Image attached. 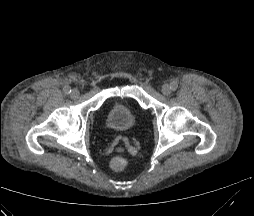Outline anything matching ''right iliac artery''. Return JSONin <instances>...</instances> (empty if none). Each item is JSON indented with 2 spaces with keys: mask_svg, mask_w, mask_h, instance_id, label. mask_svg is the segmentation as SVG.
Wrapping results in <instances>:
<instances>
[{
  "mask_svg": "<svg viewBox=\"0 0 254 216\" xmlns=\"http://www.w3.org/2000/svg\"><path fill=\"white\" fill-rule=\"evenodd\" d=\"M71 88L69 87V86H66V87H64V92L66 93V94H70L71 93Z\"/></svg>",
  "mask_w": 254,
  "mask_h": 216,
  "instance_id": "obj_1",
  "label": "right iliac artery"
}]
</instances>
